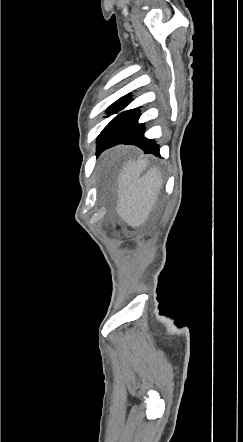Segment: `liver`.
I'll list each match as a JSON object with an SVG mask.
<instances>
[{"mask_svg": "<svg viewBox=\"0 0 243 442\" xmlns=\"http://www.w3.org/2000/svg\"><path fill=\"white\" fill-rule=\"evenodd\" d=\"M147 165V158L129 160L116 181V212L133 228L146 222L163 187L162 174L157 168L141 176Z\"/></svg>", "mask_w": 243, "mask_h": 442, "instance_id": "obj_1", "label": "liver"}]
</instances>
